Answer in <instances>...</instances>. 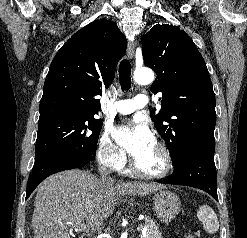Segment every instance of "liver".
Instances as JSON below:
<instances>
[{
	"label": "liver",
	"mask_w": 247,
	"mask_h": 238,
	"mask_svg": "<svg viewBox=\"0 0 247 238\" xmlns=\"http://www.w3.org/2000/svg\"><path fill=\"white\" fill-rule=\"evenodd\" d=\"M163 188L146 183L114 184L78 169L51 175L37 188L34 238H71L69 227L84 221L92 232L101 231L121 196H144Z\"/></svg>",
	"instance_id": "liver-1"
}]
</instances>
